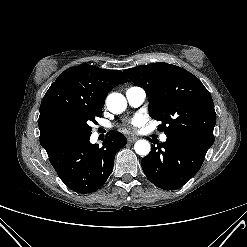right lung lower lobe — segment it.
<instances>
[{"instance_id":"1","label":"right lung lower lobe","mask_w":247,"mask_h":247,"mask_svg":"<svg viewBox=\"0 0 247 247\" xmlns=\"http://www.w3.org/2000/svg\"><path fill=\"white\" fill-rule=\"evenodd\" d=\"M90 136L63 142L47 152L60 179L78 193L94 192L106 182L116 152L127 143L122 133L113 131L99 148L90 143Z\"/></svg>"}]
</instances>
